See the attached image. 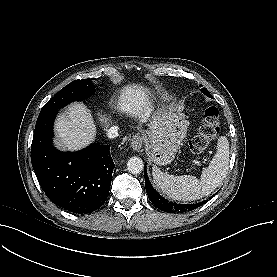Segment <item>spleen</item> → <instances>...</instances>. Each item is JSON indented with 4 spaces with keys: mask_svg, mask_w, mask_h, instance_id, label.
I'll use <instances>...</instances> for the list:
<instances>
[{
    "mask_svg": "<svg viewBox=\"0 0 277 277\" xmlns=\"http://www.w3.org/2000/svg\"><path fill=\"white\" fill-rule=\"evenodd\" d=\"M229 142L221 136L217 143V152L209 166L203 169L200 179L192 175L175 176L152 168L153 181L169 198L178 201H193L209 195L224 180L228 173Z\"/></svg>",
    "mask_w": 277,
    "mask_h": 277,
    "instance_id": "obj_1",
    "label": "spleen"
}]
</instances>
